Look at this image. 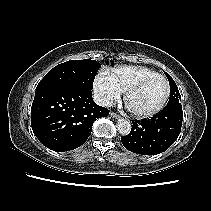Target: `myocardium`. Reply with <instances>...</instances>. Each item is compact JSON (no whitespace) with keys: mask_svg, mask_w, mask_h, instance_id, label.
<instances>
[{"mask_svg":"<svg viewBox=\"0 0 211 211\" xmlns=\"http://www.w3.org/2000/svg\"><path fill=\"white\" fill-rule=\"evenodd\" d=\"M154 79H162L166 83V94H165L163 100L161 101V103L154 109L146 111V112H140V111L133 110L128 104V98L130 97V95H132L136 91L140 90L144 85H146L148 82H150ZM170 93H171V87H170V83H169L168 79L165 76L158 74V75H154V76L145 77V78L141 79L140 81H138L137 83H135L134 85H132L131 87H129L124 92L123 100H124V103H125L128 111L133 116H135L137 118H149V117H152V116L158 114L165 107V105L170 97Z\"/></svg>","mask_w":211,"mask_h":211,"instance_id":"f54148a6","label":"myocardium"}]
</instances>
